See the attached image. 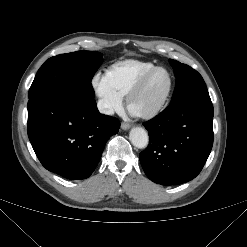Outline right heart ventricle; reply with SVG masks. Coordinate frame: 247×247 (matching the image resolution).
<instances>
[{"mask_svg":"<svg viewBox=\"0 0 247 247\" xmlns=\"http://www.w3.org/2000/svg\"><path fill=\"white\" fill-rule=\"evenodd\" d=\"M155 67L152 62L126 59L117 61L106 71L112 87L122 96H127L142 76Z\"/></svg>","mask_w":247,"mask_h":247,"instance_id":"right-heart-ventricle-1","label":"right heart ventricle"}]
</instances>
